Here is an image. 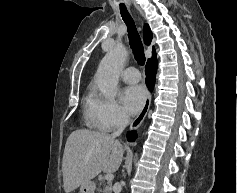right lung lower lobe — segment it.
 <instances>
[{"label":"right lung lower lobe","instance_id":"right-lung-lower-lobe-1","mask_svg":"<svg viewBox=\"0 0 237 193\" xmlns=\"http://www.w3.org/2000/svg\"><path fill=\"white\" fill-rule=\"evenodd\" d=\"M156 57L149 59L146 65V84L149 89L152 91L155 83V76L157 71V60ZM137 134L135 131H131L127 134V140L129 142L135 141Z\"/></svg>","mask_w":237,"mask_h":193}]
</instances>
